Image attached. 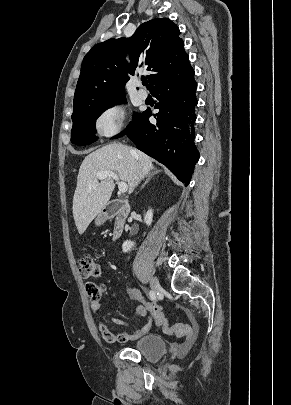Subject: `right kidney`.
<instances>
[{
  "instance_id": "right-kidney-1",
  "label": "right kidney",
  "mask_w": 291,
  "mask_h": 405,
  "mask_svg": "<svg viewBox=\"0 0 291 405\" xmlns=\"http://www.w3.org/2000/svg\"><path fill=\"white\" fill-rule=\"evenodd\" d=\"M153 219V211L150 209L145 214V223L147 226H150ZM135 243L132 241H125L122 245V250L124 253L130 251L134 247Z\"/></svg>"
}]
</instances>
